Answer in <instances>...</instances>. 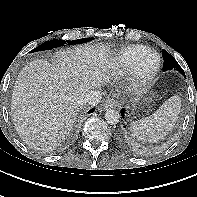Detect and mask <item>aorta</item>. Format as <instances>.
Wrapping results in <instances>:
<instances>
[{"label":"aorta","instance_id":"obj_1","mask_svg":"<svg viewBox=\"0 0 197 197\" xmlns=\"http://www.w3.org/2000/svg\"><path fill=\"white\" fill-rule=\"evenodd\" d=\"M104 117H105V120L107 121V123H109L111 125H115V124L119 123V121H120L119 112L116 110H113V109L107 110Z\"/></svg>","mask_w":197,"mask_h":197}]
</instances>
